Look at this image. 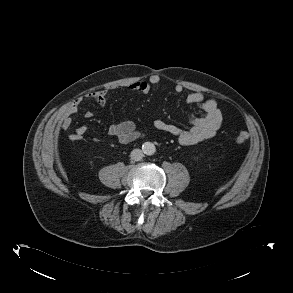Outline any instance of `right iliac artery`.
Masks as SVG:
<instances>
[{
  "instance_id": "1",
  "label": "right iliac artery",
  "mask_w": 293,
  "mask_h": 293,
  "mask_svg": "<svg viewBox=\"0 0 293 293\" xmlns=\"http://www.w3.org/2000/svg\"><path fill=\"white\" fill-rule=\"evenodd\" d=\"M145 148H146V147L143 145V146H142V149L144 150Z\"/></svg>"
}]
</instances>
